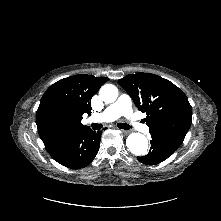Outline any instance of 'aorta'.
Wrapping results in <instances>:
<instances>
[{"label": "aorta", "mask_w": 221, "mask_h": 221, "mask_svg": "<svg viewBox=\"0 0 221 221\" xmlns=\"http://www.w3.org/2000/svg\"><path fill=\"white\" fill-rule=\"evenodd\" d=\"M99 94L105 103H112L118 97V89L113 84H105L100 88ZM126 146L134 155L142 156L147 154L148 140L141 133H131L127 137Z\"/></svg>", "instance_id": "aorta-1"}]
</instances>
